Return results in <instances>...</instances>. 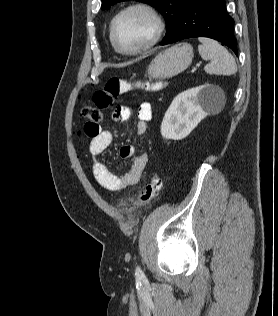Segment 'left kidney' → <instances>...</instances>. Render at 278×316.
<instances>
[{
  "mask_svg": "<svg viewBox=\"0 0 278 316\" xmlns=\"http://www.w3.org/2000/svg\"><path fill=\"white\" fill-rule=\"evenodd\" d=\"M222 96V89L211 84L191 88L178 94L165 113L161 124V135L165 139L172 140L187 137Z\"/></svg>",
  "mask_w": 278,
  "mask_h": 316,
  "instance_id": "left-kidney-1",
  "label": "left kidney"
}]
</instances>
